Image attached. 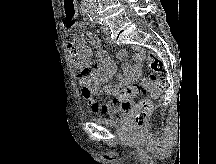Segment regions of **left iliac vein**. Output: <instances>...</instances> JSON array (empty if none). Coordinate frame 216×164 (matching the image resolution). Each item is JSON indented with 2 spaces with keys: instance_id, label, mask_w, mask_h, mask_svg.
Masks as SVG:
<instances>
[{
  "instance_id": "left-iliac-vein-1",
  "label": "left iliac vein",
  "mask_w": 216,
  "mask_h": 164,
  "mask_svg": "<svg viewBox=\"0 0 216 164\" xmlns=\"http://www.w3.org/2000/svg\"><path fill=\"white\" fill-rule=\"evenodd\" d=\"M102 31L105 33V34H108L109 33V28L106 24H103L102 25Z\"/></svg>"
}]
</instances>
